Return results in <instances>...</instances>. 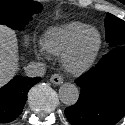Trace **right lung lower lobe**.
Masks as SVG:
<instances>
[{"label":"right lung lower lobe","mask_w":125,"mask_h":125,"mask_svg":"<svg viewBox=\"0 0 125 125\" xmlns=\"http://www.w3.org/2000/svg\"><path fill=\"white\" fill-rule=\"evenodd\" d=\"M41 78L14 77L0 89V123L15 120L23 110L29 89Z\"/></svg>","instance_id":"right-lung-lower-lobe-1"}]
</instances>
